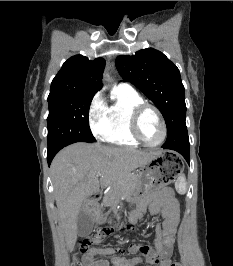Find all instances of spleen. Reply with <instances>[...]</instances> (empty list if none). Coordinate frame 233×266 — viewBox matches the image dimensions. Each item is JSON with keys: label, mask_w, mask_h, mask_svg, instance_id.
I'll return each mask as SVG.
<instances>
[{"label": "spleen", "mask_w": 233, "mask_h": 266, "mask_svg": "<svg viewBox=\"0 0 233 266\" xmlns=\"http://www.w3.org/2000/svg\"><path fill=\"white\" fill-rule=\"evenodd\" d=\"M175 187L176 190L178 191V193L180 194H185L186 193V189H187V183H186V178L184 175H181L176 183H175Z\"/></svg>", "instance_id": "spleen-1"}]
</instances>
